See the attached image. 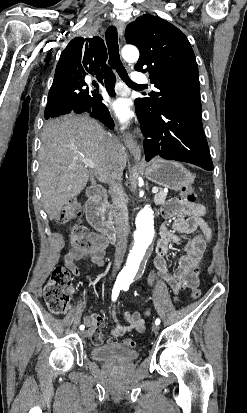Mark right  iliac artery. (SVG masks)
<instances>
[{"mask_svg": "<svg viewBox=\"0 0 247 413\" xmlns=\"http://www.w3.org/2000/svg\"><path fill=\"white\" fill-rule=\"evenodd\" d=\"M122 289V286L115 284L112 290V301H116L120 290ZM80 330H84L85 326L84 325H80Z\"/></svg>", "mask_w": 247, "mask_h": 413, "instance_id": "obj_1", "label": "right iliac artery"}]
</instances>
